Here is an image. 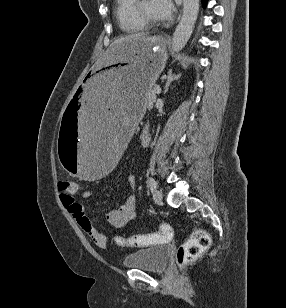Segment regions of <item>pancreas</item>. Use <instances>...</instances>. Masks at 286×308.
Instances as JSON below:
<instances>
[{
  "label": "pancreas",
  "instance_id": "1",
  "mask_svg": "<svg viewBox=\"0 0 286 308\" xmlns=\"http://www.w3.org/2000/svg\"><path fill=\"white\" fill-rule=\"evenodd\" d=\"M156 89V87H153L151 89L148 90V92L146 93V97H147V103L146 106L151 108L153 106V103L156 99V93L154 92V90Z\"/></svg>",
  "mask_w": 286,
  "mask_h": 308
}]
</instances>
